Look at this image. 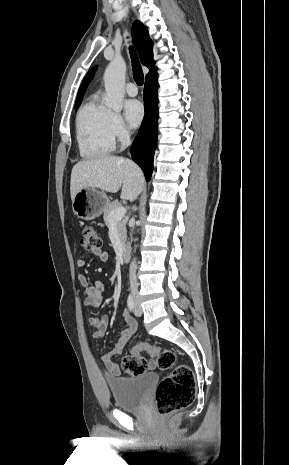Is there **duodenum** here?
<instances>
[{
  "label": "duodenum",
  "mask_w": 289,
  "mask_h": 465,
  "mask_svg": "<svg viewBox=\"0 0 289 465\" xmlns=\"http://www.w3.org/2000/svg\"><path fill=\"white\" fill-rule=\"evenodd\" d=\"M130 253H131V250H130V247L129 246H124L121 250V258L124 262H127L129 261L130 259Z\"/></svg>",
  "instance_id": "duodenum-1"
}]
</instances>
